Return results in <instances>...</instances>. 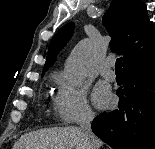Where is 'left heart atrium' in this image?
Here are the masks:
<instances>
[{"label": "left heart atrium", "mask_w": 155, "mask_h": 149, "mask_svg": "<svg viewBox=\"0 0 155 149\" xmlns=\"http://www.w3.org/2000/svg\"><path fill=\"white\" fill-rule=\"evenodd\" d=\"M112 100V95L109 90L99 84L95 87L93 92V102L99 108L106 107Z\"/></svg>", "instance_id": "39dd6f15"}]
</instances>
